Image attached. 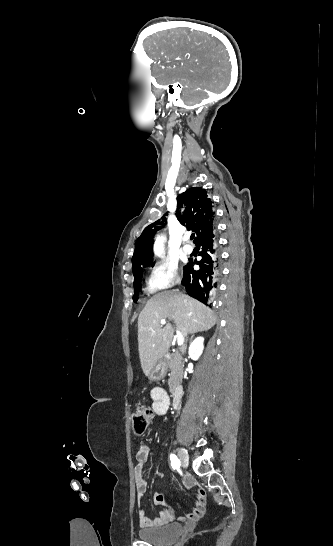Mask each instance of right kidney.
<instances>
[{"label": "right kidney", "instance_id": "1", "mask_svg": "<svg viewBox=\"0 0 333 546\" xmlns=\"http://www.w3.org/2000/svg\"><path fill=\"white\" fill-rule=\"evenodd\" d=\"M203 342H204V338L203 337H198L197 339H195L190 347H189V356L191 359L193 360H198L200 355L202 354V351L204 349V345H203Z\"/></svg>", "mask_w": 333, "mask_h": 546}]
</instances>
